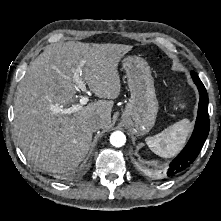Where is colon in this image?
<instances>
[{
	"label": "colon",
	"instance_id": "5ec220e1",
	"mask_svg": "<svg viewBox=\"0 0 221 221\" xmlns=\"http://www.w3.org/2000/svg\"><path fill=\"white\" fill-rule=\"evenodd\" d=\"M160 58H162V56H160ZM179 106H180V107H184V103H183L182 100L179 101Z\"/></svg>",
	"mask_w": 221,
	"mask_h": 221
}]
</instances>
